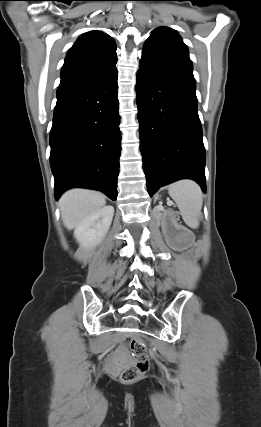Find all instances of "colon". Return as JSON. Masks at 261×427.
Here are the masks:
<instances>
[{"instance_id":"1","label":"colon","mask_w":261,"mask_h":427,"mask_svg":"<svg viewBox=\"0 0 261 427\" xmlns=\"http://www.w3.org/2000/svg\"><path fill=\"white\" fill-rule=\"evenodd\" d=\"M130 351L134 358V364L126 368L120 375L125 383H131L141 378L150 367L147 347L141 339H133L130 342Z\"/></svg>"}]
</instances>
